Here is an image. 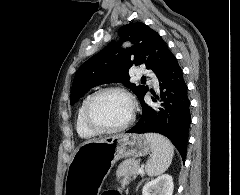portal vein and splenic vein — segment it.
<instances>
[{"label": "portal vein and splenic vein", "instance_id": "obj_1", "mask_svg": "<svg viewBox=\"0 0 240 195\" xmlns=\"http://www.w3.org/2000/svg\"><path fill=\"white\" fill-rule=\"evenodd\" d=\"M138 173H144L143 167H141V169H138ZM127 185H128V184H127ZM124 190L126 191L127 189L125 188Z\"/></svg>", "mask_w": 240, "mask_h": 195}]
</instances>
